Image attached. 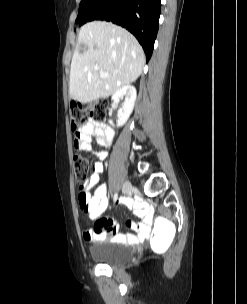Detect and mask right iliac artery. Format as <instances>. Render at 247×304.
<instances>
[{
  "instance_id": "right-iliac-artery-1",
  "label": "right iliac artery",
  "mask_w": 247,
  "mask_h": 304,
  "mask_svg": "<svg viewBox=\"0 0 247 304\" xmlns=\"http://www.w3.org/2000/svg\"><path fill=\"white\" fill-rule=\"evenodd\" d=\"M114 200H115V201L117 200V194H115V196H114Z\"/></svg>"
}]
</instances>
